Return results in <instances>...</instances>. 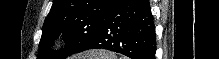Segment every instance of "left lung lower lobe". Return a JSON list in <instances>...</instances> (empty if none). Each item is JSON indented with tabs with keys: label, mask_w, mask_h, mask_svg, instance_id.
<instances>
[{
	"label": "left lung lower lobe",
	"mask_w": 219,
	"mask_h": 59,
	"mask_svg": "<svg viewBox=\"0 0 219 59\" xmlns=\"http://www.w3.org/2000/svg\"><path fill=\"white\" fill-rule=\"evenodd\" d=\"M106 49L131 59H155L156 34L148 0H113L94 37L76 53Z\"/></svg>",
	"instance_id": "0a47b994"
}]
</instances>
